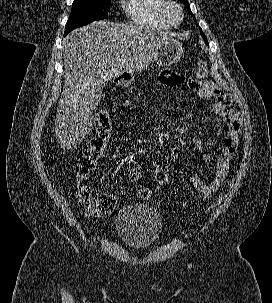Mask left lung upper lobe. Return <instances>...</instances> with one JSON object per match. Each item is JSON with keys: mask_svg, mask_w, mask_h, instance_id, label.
Masks as SVG:
<instances>
[{"mask_svg": "<svg viewBox=\"0 0 272 303\" xmlns=\"http://www.w3.org/2000/svg\"><path fill=\"white\" fill-rule=\"evenodd\" d=\"M180 1L187 7L188 12L192 14V12H191V10H190V5H189L188 1H187V0H180ZM192 15H193V14H192ZM193 17H194V15H193ZM194 19H195V17H194ZM195 20H196V19H195ZM201 34H202V36H203V39H204L205 43L208 44V41H207V38L205 37V35H204L202 32H201Z\"/></svg>", "mask_w": 272, "mask_h": 303, "instance_id": "1", "label": "left lung upper lobe"}]
</instances>
